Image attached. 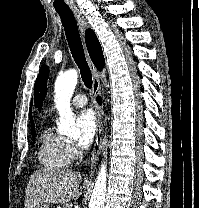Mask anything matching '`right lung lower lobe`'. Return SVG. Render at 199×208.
<instances>
[{
  "mask_svg": "<svg viewBox=\"0 0 199 208\" xmlns=\"http://www.w3.org/2000/svg\"><path fill=\"white\" fill-rule=\"evenodd\" d=\"M97 102L101 104V99L98 97Z\"/></svg>",
  "mask_w": 199,
  "mask_h": 208,
  "instance_id": "obj_1",
  "label": "right lung lower lobe"
}]
</instances>
